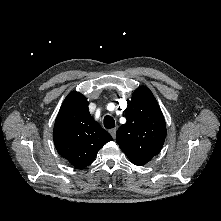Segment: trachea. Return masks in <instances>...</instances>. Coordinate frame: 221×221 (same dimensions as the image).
<instances>
[{
  "label": "trachea",
  "instance_id": "1",
  "mask_svg": "<svg viewBox=\"0 0 221 221\" xmlns=\"http://www.w3.org/2000/svg\"><path fill=\"white\" fill-rule=\"evenodd\" d=\"M104 127L106 129L114 128L115 127V120L109 115L105 116L104 117Z\"/></svg>",
  "mask_w": 221,
  "mask_h": 221
}]
</instances>
